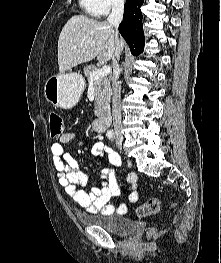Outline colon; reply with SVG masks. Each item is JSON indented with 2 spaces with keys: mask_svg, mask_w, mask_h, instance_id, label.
I'll return each instance as SVG.
<instances>
[{
  "mask_svg": "<svg viewBox=\"0 0 221 263\" xmlns=\"http://www.w3.org/2000/svg\"><path fill=\"white\" fill-rule=\"evenodd\" d=\"M50 135L51 137H58L63 132V119L57 112H51L49 115ZM160 211V200L156 197L148 199L136 209L138 217H147L157 214Z\"/></svg>",
  "mask_w": 221,
  "mask_h": 263,
  "instance_id": "1",
  "label": "colon"
}]
</instances>
